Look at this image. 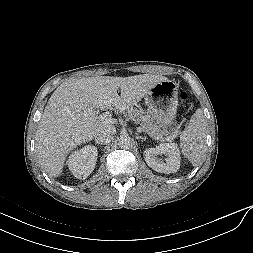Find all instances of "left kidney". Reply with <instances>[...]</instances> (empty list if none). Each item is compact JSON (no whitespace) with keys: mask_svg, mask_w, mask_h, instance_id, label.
<instances>
[{"mask_svg":"<svg viewBox=\"0 0 253 253\" xmlns=\"http://www.w3.org/2000/svg\"><path fill=\"white\" fill-rule=\"evenodd\" d=\"M165 155V162L158 156ZM144 159L147 165L153 170L170 174L175 173L180 168V152L175 143H165L156 146L155 148H148L144 151Z\"/></svg>","mask_w":253,"mask_h":253,"instance_id":"obj_1","label":"left kidney"}]
</instances>
